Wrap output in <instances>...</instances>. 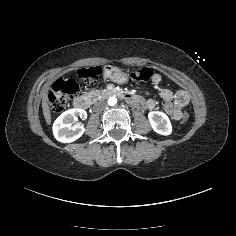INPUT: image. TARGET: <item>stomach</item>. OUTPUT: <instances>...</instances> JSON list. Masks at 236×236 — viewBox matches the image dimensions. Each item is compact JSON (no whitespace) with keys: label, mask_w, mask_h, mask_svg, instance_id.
I'll use <instances>...</instances> for the list:
<instances>
[{"label":"stomach","mask_w":236,"mask_h":236,"mask_svg":"<svg viewBox=\"0 0 236 236\" xmlns=\"http://www.w3.org/2000/svg\"><path fill=\"white\" fill-rule=\"evenodd\" d=\"M104 77L109 78L111 81L118 84H124L128 82V74L122 71L120 68L111 65L104 66Z\"/></svg>","instance_id":"1"}]
</instances>
